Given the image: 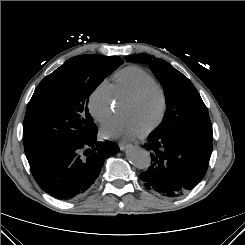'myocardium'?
Returning <instances> with one entry per match:
<instances>
[{"mask_svg":"<svg viewBox=\"0 0 245 245\" xmlns=\"http://www.w3.org/2000/svg\"><path fill=\"white\" fill-rule=\"evenodd\" d=\"M149 88H155L160 93L161 110L155 122L150 127H148L146 130L141 132L142 137L148 136L149 134L154 132L162 124L165 118L167 108H168V98H167V93H166L165 88L159 82L155 80L149 81V82H146L140 85L131 94H129L123 101V103L135 101Z\"/></svg>","mask_w":245,"mask_h":245,"instance_id":"obj_1","label":"myocardium"}]
</instances>
